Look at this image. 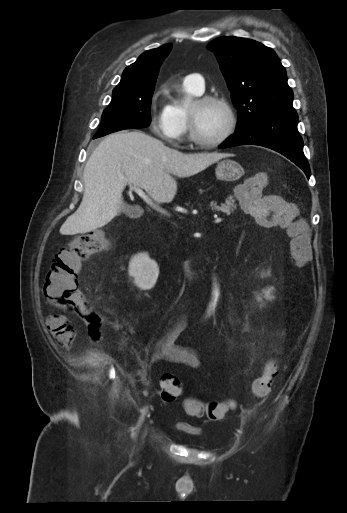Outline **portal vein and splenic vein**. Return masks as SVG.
<instances>
[{
    "mask_svg": "<svg viewBox=\"0 0 347 513\" xmlns=\"http://www.w3.org/2000/svg\"><path fill=\"white\" fill-rule=\"evenodd\" d=\"M130 188H131L132 190H134V191H135V192H136V193H137V194H138V195H139V196H140V197H141V198H142V199H143L147 204H149V205L153 206V208H155V209L159 210L161 213L167 214V212H166V211H164V210H160V208H157V207L153 204V202L151 201V199H150V198L145 194V192H144L141 188H139V187H137V186H132V185H130ZM214 222H215V223H221V222H222V218H220V217H219V218H216V219L214 220Z\"/></svg>",
    "mask_w": 347,
    "mask_h": 513,
    "instance_id": "obj_1",
    "label": "portal vein and splenic vein"
}]
</instances>
